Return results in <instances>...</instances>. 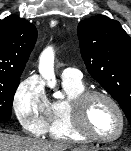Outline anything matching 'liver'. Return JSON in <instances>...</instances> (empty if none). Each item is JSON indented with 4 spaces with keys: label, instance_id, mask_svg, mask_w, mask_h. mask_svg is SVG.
<instances>
[{
    "label": "liver",
    "instance_id": "obj_1",
    "mask_svg": "<svg viewBox=\"0 0 131 151\" xmlns=\"http://www.w3.org/2000/svg\"><path fill=\"white\" fill-rule=\"evenodd\" d=\"M70 145L0 133V151H66ZM84 151L85 148H75Z\"/></svg>",
    "mask_w": 131,
    "mask_h": 151
}]
</instances>
